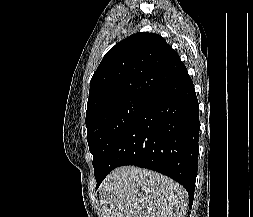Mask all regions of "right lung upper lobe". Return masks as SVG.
I'll list each match as a JSON object with an SVG mask.
<instances>
[{
    "mask_svg": "<svg viewBox=\"0 0 253 217\" xmlns=\"http://www.w3.org/2000/svg\"><path fill=\"white\" fill-rule=\"evenodd\" d=\"M179 55L158 34L141 32L112 47L90 81L86 119L129 97L150 99L184 70Z\"/></svg>",
    "mask_w": 253,
    "mask_h": 217,
    "instance_id": "obj_1",
    "label": "right lung upper lobe"
}]
</instances>
